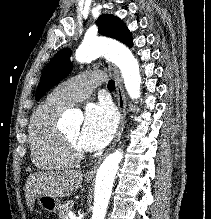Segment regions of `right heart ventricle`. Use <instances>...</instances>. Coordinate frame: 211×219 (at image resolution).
I'll return each instance as SVG.
<instances>
[{
	"label": "right heart ventricle",
	"instance_id": "e07e8e85",
	"mask_svg": "<svg viewBox=\"0 0 211 219\" xmlns=\"http://www.w3.org/2000/svg\"><path fill=\"white\" fill-rule=\"evenodd\" d=\"M66 107L49 98L33 113L29 125V145L33 164L42 170L72 167L75 160L65 151L57 120Z\"/></svg>",
	"mask_w": 211,
	"mask_h": 219
}]
</instances>
